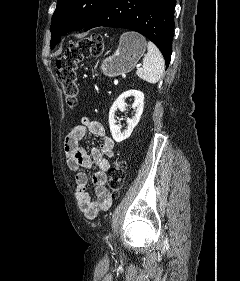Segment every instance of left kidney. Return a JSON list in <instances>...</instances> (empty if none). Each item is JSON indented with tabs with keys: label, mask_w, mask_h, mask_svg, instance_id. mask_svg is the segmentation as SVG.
I'll list each match as a JSON object with an SVG mask.
<instances>
[{
	"label": "left kidney",
	"mask_w": 240,
	"mask_h": 281,
	"mask_svg": "<svg viewBox=\"0 0 240 281\" xmlns=\"http://www.w3.org/2000/svg\"><path fill=\"white\" fill-rule=\"evenodd\" d=\"M134 97V103L132 105L135 110V115L132 118H127V128L121 131V127L117 125L115 120V112L119 109L121 111L126 110L125 100L128 97ZM144 107V94L139 90H129L122 93L116 101L113 103L109 111V126L113 139L116 142H122L130 137L133 129L138 124Z\"/></svg>",
	"instance_id": "left-kidney-1"
}]
</instances>
